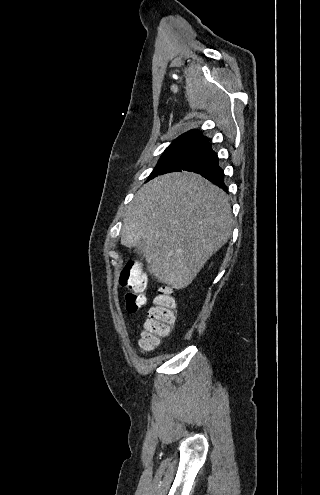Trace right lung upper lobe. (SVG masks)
<instances>
[{"instance_id": "obj_1", "label": "right lung upper lobe", "mask_w": 320, "mask_h": 495, "mask_svg": "<svg viewBox=\"0 0 320 495\" xmlns=\"http://www.w3.org/2000/svg\"><path fill=\"white\" fill-rule=\"evenodd\" d=\"M179 140H197V141L208 142L210 139L207 137H204L200 131L193 129V130H190V131L182 134L181 136L176 138L174 141H179Z\"/></svg>"}]
</instances>
